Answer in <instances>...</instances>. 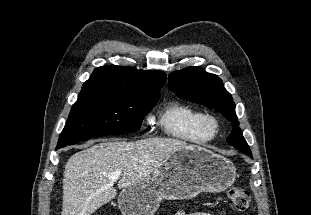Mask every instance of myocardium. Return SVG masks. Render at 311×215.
<instances>
[{"label":"myocardium","mask_w":311,"mask_h":215,"mask_svg":"<svg viewBox=\"0 0 311 215\" xmlns=\"http://www.w3.org/2000/svg\"><path fill=\"white\" fill-rule=\"evenodd\" d=\"M204 127L212 134H215L219 129V120L214 115H206L204 119Z\"/></svg>","instance_id":"obj_1"}]
</instances>
